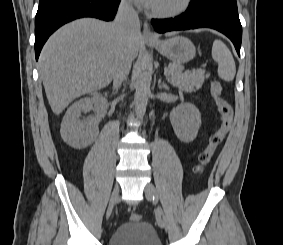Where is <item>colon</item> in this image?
<instances>
[{
	"label": "colon",
	"mask_w": 283,
	"mask_h": 245,
	"mask_svg": "<svg viewBox=\"0 0 283 245\" xmlns=\"http://www.w3.org/2000/svg\"><path fill=\"white\" fill-rule=\"evenodd\" d=\"M210 92L217 107L220 117V125L218 129L210 136L207 146L200 153L198 162L194 167V171L196 173H202L204 168L209 164L218 147L221 145L230 131L233 122V108L231 104L223 97V89L220 82L214 80L211 84ZM130 219L132 221H140L141 216L138 213H132Z\"/></svg>",
	"instance_id": "colon-1"
}]
</instances>
